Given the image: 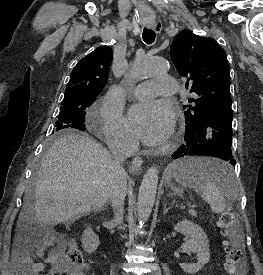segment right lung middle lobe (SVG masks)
I'll use <instances>...</instances> for the list:
<instances>
[{
  "mask_svg": "<svg viewBox=\"0 0 263 275\" xmlns=\"http://www.w3.org/2000/svg\"><path fill=\"white\" fill-rule=\"evenodd\" d=\"M95 101V96L79 95L65 98L62 102L58 121L52 134L55 138L71 129L85 130L86 109Z\"/></svg>",
  "mask_w": 263,
  "mask_h": 275,
  "instance_id": "right-lung-middle-lobe-1",
  "label": "right lung middle lobe"
}]
</instances>
